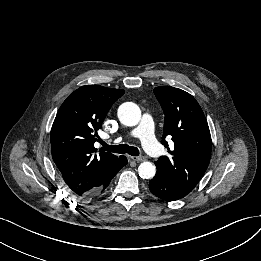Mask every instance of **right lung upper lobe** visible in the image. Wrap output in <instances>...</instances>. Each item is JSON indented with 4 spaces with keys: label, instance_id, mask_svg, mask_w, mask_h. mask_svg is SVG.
Instances as JSON below:
<instances>
[{
    "label": "right lung upper lobe",
    "instance_id": "right-lung-upper-lobe-1",
    "mask_svg": "<svg viewBox=\"0 0 261 261\" xmlns=\"http://www.w3.org/2000/svg\"><path fill=\"white\" fill-rule=\"evenodd\" d=\"M124 90L85 85L61 105L51 129L52 158L65 183L81 198L100 187L121 156L94 154L97 131Z\"/></svg>",
    "mask_w": 261,
    "mask_h": 261
}]
</instances>
